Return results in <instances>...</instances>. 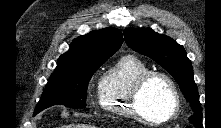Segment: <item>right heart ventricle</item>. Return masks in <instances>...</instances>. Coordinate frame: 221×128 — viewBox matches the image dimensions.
I'll return each instance as SVG.
<instances>
[{
	"instance_id": "obj_1",
	"label": "right heart ventricle",
	"mask_w": 221,
	"mask_h": 128,
	"mask_svg": "<svg viewBox=\"0 0 221 128\" xmlns=\"http://www.w3.org/2000/svg\"><path fill=\"white\" fill-rule=\"evenodd\" d=\"M151 68L140 57L126 54L118 58L103 74L99 84L101 108L119 117L135 118L129 96L135 82Z\"/></svg>"
}]
</instances>
